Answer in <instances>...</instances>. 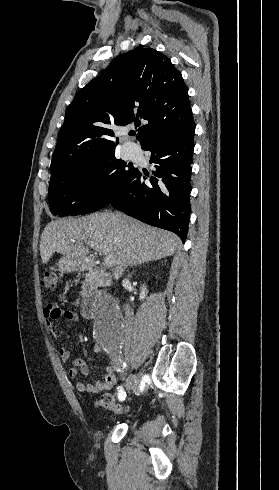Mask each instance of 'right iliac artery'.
<instances>
[{
    "label": "right iliac artery",
    "mask_w": 279,
    "mask_h": 490,
    "mask_svg": "<svg viewBox=\"0 0 279 490\" xmlns=\"http://www.w3.org/2000/svg\"><path fill=\"white\" fill-rule=\"evenodd\" d=\"M125 397H126V393L125 391L123 390L122 387H118V398L119 400H125Z\"/></svg>",
    "instance_id": "right-iliac-artery-1"
}]
</instances>
